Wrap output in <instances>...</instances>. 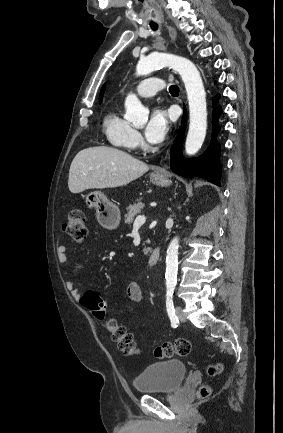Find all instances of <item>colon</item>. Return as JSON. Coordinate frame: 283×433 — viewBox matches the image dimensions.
<instances>
[{
    "label": "colon",
    "mask_w": 283,
    "mask_h": 433,
    "mask_svg": "<svg viewBox=\"0 0 283 433\" xmlns=\"http://www.w3.org/2000/svg\"><path fill=\"white\" fill-rule=\"evenodd\" d=\"M63 231L75 242L82 243L87 238L86 218L81 209H72L68 218L62 225ZM81 304L87 308L97 319L104 321L111 333L112 340L117 344L118 349L127 356H134L139 353V348L134 336L127 329L119 325L114 319L106 318V303L103 297L94 290L87 291L81 298ZM191 343L187 339H177L174 342H166L156 347L154 354L158 358H171L175 355L186 356L190 353ZM220 364H213L208 367V373L215 375L221 371ZM208 388H202L201 395L208 394Z\"/></svg>",
    "instance_id": "obj_1"
}]
</instances>
